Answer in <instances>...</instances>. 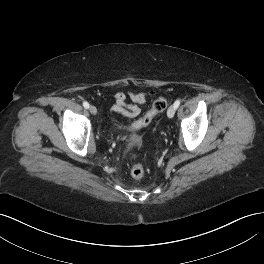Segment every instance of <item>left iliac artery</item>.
<instances>
[{
  "instance_id": "left-iliac-artery-1",
  "label": "left iliac artery",
  "mask_w": 264,
  "mask_h": 264,
  "mask_svg": "<svg viewBox=\"0 0 264 264\" xmlns=\"http://www.w3.org/2000/svg\"><path fill=\"white\" fill-rule=\"evenodd\" d=\"M179 105H180V100H176L174 102V107L177 109L179 107Z\"/></svg>"
}]
</instances>
